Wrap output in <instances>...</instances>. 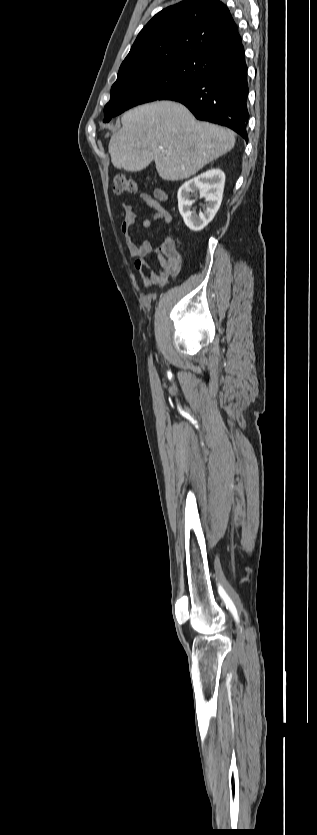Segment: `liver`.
Returning a JSON list of instances; mask_svg holds the SVG:
<instances>
[{"label":"liver","mask_w":317,"mask_h":835,"mask_svg":"<svg viewBox=\"0 0 317 835\" xmlns=\"http://www.w3.org/2000/svg\"><path fill=\"white\" fill-rule=\"evenodd\" d=\"M122 125L110 139L112 164L135 172L154 161L159 176L168 181L194 175L235 144L233 131L198 122L185 106L173 101L135 107L122 116Z\"/></svg>","instance_id":"obj_1"}]
</instances>
